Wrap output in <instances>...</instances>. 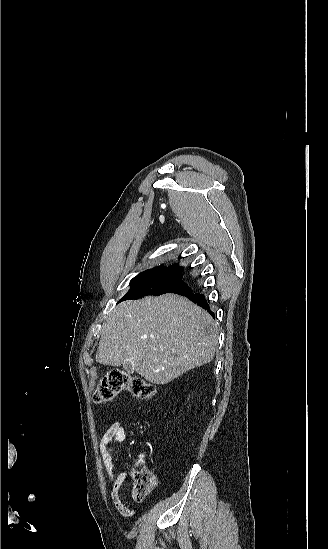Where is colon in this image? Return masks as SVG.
<instances>
[{
  "label": "colon",
  "instance_id": "1",
  "mask_svg": "<svg viewBox=\"0 0 328 549\" xmlns=\"http://www.w3.org/2000/svg\"><path fill=\"white\" fill-rule=\"evenodd\" d=\"M121 392H129L137 398L149 400L155 396L156 388L141 377L133 376L120 369H112L99 382L93 399L96 403H105ZM132 478V498L142 501L153 488L152 474L146 467L137 465L132 470Z\"/></svg>",
  "mask_w": 328,
  "mask_h": 549
}]
</instances>
